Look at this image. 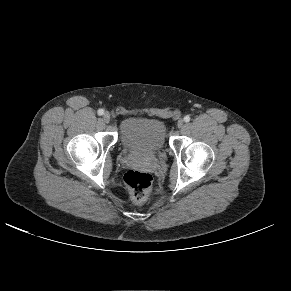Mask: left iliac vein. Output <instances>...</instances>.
Returning a JSON list of instances; mask_svg holds the SVG:
<instances>
[{
  "mask_svg": "<svg viewBox=\"0 0 291 291\" xmlns=\"http://www.w3.org/2000/svg\"><path fill=\"white\" fill-rule=\"evenodd\" d=\"M183 125H184V120H183V119L178 120V122H177V127H178V128H182Z\"/></svg>",
  "mask_w": 291,
  "mask_h": 291,
  "instance_id": "1",
  "label": "left iliac vein"
}]
</instances>
